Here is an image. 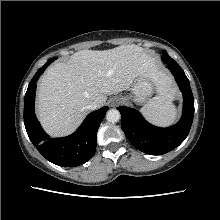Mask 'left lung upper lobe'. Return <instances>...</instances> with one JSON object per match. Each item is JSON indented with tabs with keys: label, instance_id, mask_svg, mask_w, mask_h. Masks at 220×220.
Here are the masks:
<instances>
[{
	"label": "left lung upper lobe",
	"instance_id": "left-lung-upper-lobe-1",
	"mask_svg": "<svg viewBox=\"0 0 220 220\" xmlns=\"http://www.w3.org/2000/svg\"><path fill=\"white\" fill-rule=\"evenodd\" d=\"M164 59H172L166 51H163V54H162V60L164 61Z\"/></svg>",
	"mask_w": 220,
	"mask_h": 220
}]
</instances>
